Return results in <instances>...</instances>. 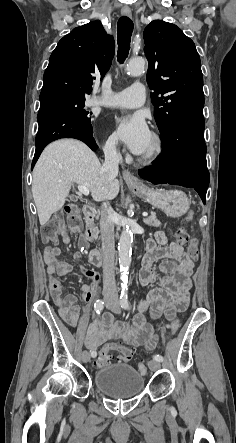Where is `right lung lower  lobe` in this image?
<instances>
[{"instance_id": "1", "label": "right lung lower lobe", "mask_w": 236, "mask_h": 443, "mask_svg": "<svg viewBox=\"0 0 236 443\" xmlns=\"http://www.w3.org/2000/svg\"><path fill=\"white\" fill-rule=\"evenodd\" d=\"M37 120L39 129L35 139L36 151L32 169L45 146L60 138L79 139L92 150L98 148L93 138L91 121L80 118L59 102H41Z\"/></svg>"}]
</instances>
